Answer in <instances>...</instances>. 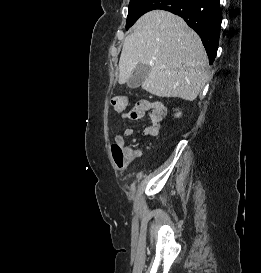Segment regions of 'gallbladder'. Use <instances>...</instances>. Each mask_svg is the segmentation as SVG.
I'll return each instance as SVG.
<instances>
[{"mask_svg":"<svg viewBox=\"0 0 261 273\" xmlns=\"http://www.w3.org/2000/svg\"><path fill=\"white\" fill-rule=\"evenodd\" d=\"M150 66L146 64H138L133 70L132 76L127 81V86L131 89L139 87L150 73Z\"/></svg>","mask_w":261,"mask_h":273,"instance_id":"bac80fb5","label":"gallbladder"}]
</instances>
